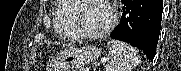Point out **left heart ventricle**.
Listing matches in <instances>:
<instances>
[{"label": "left heart ventricle", "mask_w": 181, "mask_h": 71, "mask_svg": "<svg viewBox=\"0 0 181 71\" xmlns=\"http://www.w3.org/2000/svg\"><path fill=\"white\" fill-rule=\"evenodd\" d=\"M81 11L77 18L80 30L95 33L103 30L110 22V12L100 0H79Z\"/></svg>", "instance_id": "b2bd125f"}]
</instances>
